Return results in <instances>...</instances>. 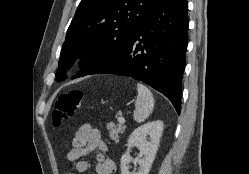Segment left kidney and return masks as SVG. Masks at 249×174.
<instances>
[{
	"label": "left kidney",
	"mask_w": 249,
	"mask_h": 174,
	"mask_svg": "<svg viewBox=\"0 0 249 174\" xmlns=\"http://www.w3.org/2000/svg\"><path fill=\"white\" fill-rule=\"evenodd\" d=\"M163 122L160 120L148 122L135 129L127 143V152L121 157V174H148L159 146L160 137L163 132ZM149 136V141L147 140ZM138 147L140 150L137 159L130 156V149ZM138 163L140 168L137 171L129 172L130 162Z\"/></svg>",
	"instance_id": "5707ae66"
}]
</instances>
